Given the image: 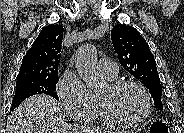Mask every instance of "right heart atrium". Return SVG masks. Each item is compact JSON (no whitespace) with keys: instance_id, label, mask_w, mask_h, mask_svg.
Returning a JSON list of instances; mask_svg holds the SVG:
<instances>
[{"instance_id":"right-heart-atrium-1","label":"right heart atrium","mask_w":184,"mask_h":133,"mask_svg":"<svg viewBox=\"0 0 184 133\" xmlns=\"http://www.w3.org/2000/svg\"><path fill=\"white\" fill-rule=\"evenodd\" d=\"M58 94L66 114L75 121L91 122L96 115V97L73 71L58 84Z\"/></svg>"}]
</instances>
